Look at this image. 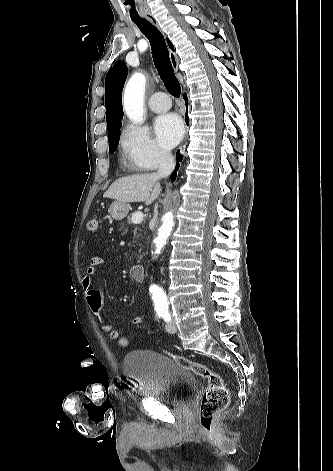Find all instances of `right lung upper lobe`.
I'll list each match as a JSON object with an SVG mask.
<instances>
[{"label":"right lung upper lobe","instance_id":"cb5924a9","mask_svg":"<svg viewBox=\"0 0 333 471\" xmlns=\"http://www.w3.org/2000/svg\"><path fill=\"white\" fill-rule=\"evenodd\" d=\"M169 47L174 50L172 43L167 39ZM127 76L125 62L118 61L108 71L105 79V106L108 131L121 123L123 118L122 90Z\"/></svg>","mask_w":333,"mask_h":471}]
</instances>
